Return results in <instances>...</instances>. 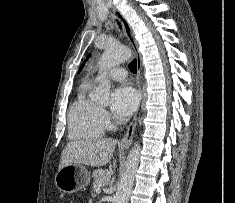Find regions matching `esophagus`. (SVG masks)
I'll list each match as a JSON object with an SVG mask.
<instances>
[{
	"instance_id": "1",
	"label": "esophagus",
	"mask_w": 235,
	"mask_h": 203,
	"mask_svg": "<svg viewBox=\"0 0 235 203\" xmlns=\"http://www.w3.org/2000/svg\"><path fill=\"white\" fill-rule=\"evenodd\" d=\"M113 12H114L115 16L117 17V19L121 22V24L124 28L125 34L129 40L131 46L134 49L135 56L137 59V84H138V88L141 92V97H142L143 96L142 87H141L142 63H141V55L138 51V43L135 38L134 31H133L132 27L130 26L129 22L125 19V17L118 10L113 9ZM136 124H137V115L133 118L132 122L128 126L125 135L122 137V139L119 142V145L127 146V147L131 145L133 137H134Z\"/></svg>"
}]
</instances>
